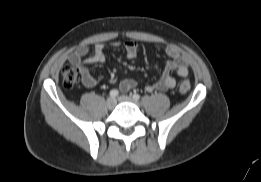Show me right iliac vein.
I'll list each match as a JSON object with an SVG mask.
<instances>
[{"instance_id": "63e3f726", "label": "right iliac vein", "mask_w": 261, "mask_h": 182, "mask_svg": "<svg viewBox=\"0 0 261 182\" xmlns=\"http://www.w3.org/2000/svg\"><path fill=\"white\" fill-rule=\"evenodd\" d=\"M116 100L114 98H108L106 101V106L108 109H113L116 106Z\"/></svg>"}]
</instances>
